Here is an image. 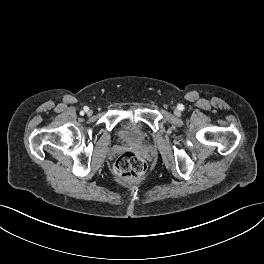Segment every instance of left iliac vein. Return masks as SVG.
Listing matches in <instances>:
<instances>
[{
	"label": "left iliac vein",
	"instance_id": "obj_1",
	"mask_svg": "<svg viewBox=\"0 0 264 264\" xmlns=\"http://www.w3.org/2000/svg\"><path fill=\"white\" fill-rule=\"evenodd\" d=\"M175 114L176 115H180V111L179 110H175Z\"/></svg>",
	"mask_w": 264,
	"mask_h": 264
}]
</instances>
